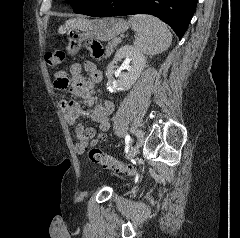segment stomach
<instances>
[{"instance_id": "obj_1", "label": "stomach", "mask_w": 240, "mask_h": 238, "mask_svg": "<svg viewBox=\"0 0 240 238\" xmlns=\"http://www.w3.org/2000/svg\"><path fill=\"white\" fill-rule=\"evenodd\" d=\"M128 29V23L120 18H100L83 20L78 28L67 32L68 55L74 56L81 48L82 42L88 39L109 41Z\"/></svg>"}]
</instances>
